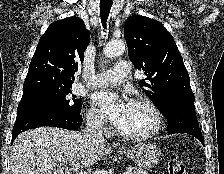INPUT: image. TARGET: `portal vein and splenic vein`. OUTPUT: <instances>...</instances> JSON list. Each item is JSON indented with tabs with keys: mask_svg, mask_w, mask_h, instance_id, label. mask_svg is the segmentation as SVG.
Listing matches in <instances>:
<instances>
[{
	"mask_svg": "<svg viewBox=\"0 0 224 174\" xmlns=\"http://www.w3.org/2000/svg\"><path fill=\"white\" fill-rule=\"evenodd\" d=\"M79 167H80V163L79 162H76V163L73 164V170L75 172H78L79 171ZM79 174H86V173L80 171ZM123 174H132V172H131V170H128L127 172H124Z\"/></svg>",
	"mask_w": 224,
	"mask_h": 174,
	"instance_id": "1",
	"label": "portal vein and splenic vein"
}]
</instances>
